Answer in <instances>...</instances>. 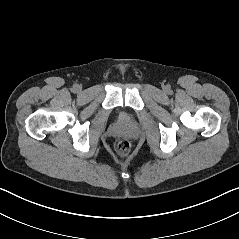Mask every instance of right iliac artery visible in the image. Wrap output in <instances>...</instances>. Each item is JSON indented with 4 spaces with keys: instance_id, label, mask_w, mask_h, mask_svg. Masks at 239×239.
<instances>
[{
    "instance_id": "right-iliac-artery-1",
    "label": "right iliac artery",
    "mask_w": 239,
    "mask_h": 239,
    "mask_svg": "<svg viewBox=\"0 0 239 239\" xmlns=\"http://www.w3.org/2000/svg\"><path fill=\"white\" fill-rule=\"evenodd\" d=\"M77 87H78V85H76V84H75V85H73V89H74V90H76V89H77Z\"/></svg>"
}]
</instances>
